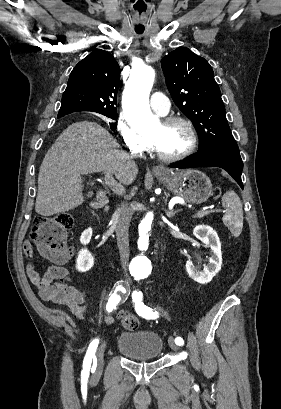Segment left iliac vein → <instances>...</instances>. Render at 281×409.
Returning a JSON list of instances; mask_svg holds the SVG:
<instances>
[{
  "mask_svg": "<svg viewBox=\"0 0 281 409\" xmlns=\"http://www.w3.org/2000/svg\"><path fill=\"white\" fill-rule=\"evenodd\" d=\"M169 346L174 351H177L179 349V346L174 342V339L172 337L169 338Z\"/></svg>",
  "mask_w": 281,
  "mask_h": 409,
  "instance_id": "obj_1",
  "label": "left iliac vein"
}]
</instances>
